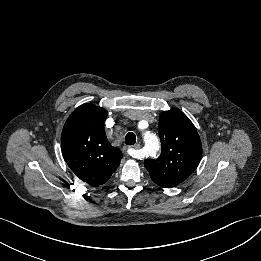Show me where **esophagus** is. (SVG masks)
<instances>
[{"instance_id":"1","label":"esophagus","mask_w":261,"mask_h":261,"mask_svg":"<svg viewBox=\"0 0 261 261\" xmlns=\"http://www.w3.org/2000/svg\"><path fill=\"white\" fill-rule=\"evenodd\" d=\"M140 148V144H135L132 146V148L130 149V155L133 158H138V154H137V150Z\"/></svg>"}]
</instances>
